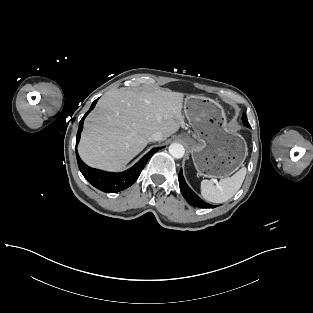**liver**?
Returning a JSON list of instances; mask_svg holds the SVG:
<instances>
[{"mask_svg":"<svg viewBox=\"0 0 313 313\" xmlns=\"http://www.w3.org/2000/svg\"><path fill=\"white\" fill-rule=\"evenodd\" d=\"M184 95L170 90L106 92L88 115L78 147L89 166L118 171L138 155L154 132L165 140L184 124Z\"/></svg>","mask_w":313,"mask_h":313,"instance_id":"6515ba94","label":"liver"}]
</instances>
